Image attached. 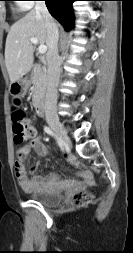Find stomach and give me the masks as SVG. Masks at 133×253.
I'll use <instances>...</instances> for the list:
<instances>
[{
	"label": "stomach",
	"instance_id": "1",
	"mask_svg": "<svg viewBox=\"0 0 133 253\" xmlns=\"http://www.w3.org/2000/svg\"><path fill=\"white\" fill-rule=\"evenodd\" d=\"M27 87L28 80L21 77L18 81L11 83L9 91L12 95L23 96L26 93Z\"/></svg>",
	"mask_w": 133,
	"mask_h": 253
}]
</instances>
